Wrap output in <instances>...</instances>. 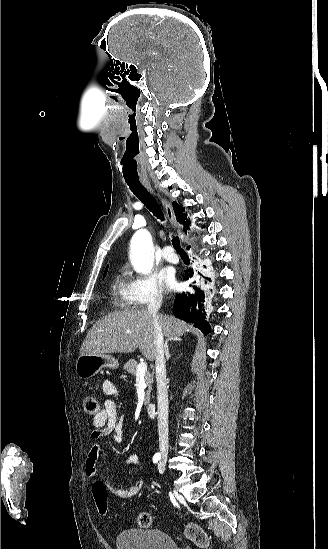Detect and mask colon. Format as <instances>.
<instances>
[{"instance_id":"5ec220e1","label":"colon","mask_w":328,"mask_h":549,"mask_svg":"<svg viewBox=\"0 0 328 549\" xmlns=\"http://www.w3.org/2000/svg\"><path fill=\"white\" fill-rule=\"evenodd\" d=\"M84 409L88 415H97L100 412V403L96 398L88 396L84 399ZM92 492L97 511L100 515H106L108 511V494L105 483L101 479L95 480L92 486ZM137 524L141 528L150 527L152 524L151 514L148 512H141L137 517ZM185 535L198 546L206 547L209 544V538L206 532L197 525L189 524L185 529Z\"/></svg>"}]
</instances>
